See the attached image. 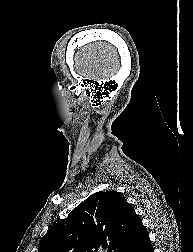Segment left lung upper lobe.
Returning a JSON list of instances; mask_svg holds the SVG:
<instances>
[{
    "mask_svg": "<svg viewBox=\"0 0 193 252\" xmlns=\"http://www.w3.org/2000/svg\"><path fill=\"white\" fill-rule=\"evenodd\" d=\"M140 222L119 192H96L48 230L38 252H124Z\"/></svg>",
    "mask_w": 193,
    "mask_h": 252,
    "instance_id": "1",
    "label": "left lung upper lobe"
}]
</instances>
